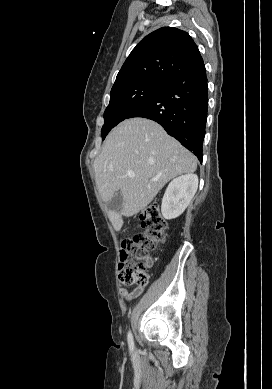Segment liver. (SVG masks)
<instances>
[{
  "label": "liver",
  "instance_id": "6515ba94",
  "mask_svg": "<svg viewBox=\"0 0 272 389\" xmlns=\"http://www.w3.org/2000/svg\"><path fill=\"white\" fill-rule=\"evenodd\" d=\"M93 167L103 202H109L117 192L123 196L120 211L110 212L113 226L119 231L122 215L137 214L168 181L195 172L197 159L158 123L132 118L109 133ZM128 171H133L135 177H129Z\"/></svg>",
  "mask_w": 272,
  "mask_h": 389
}]
</instances>
